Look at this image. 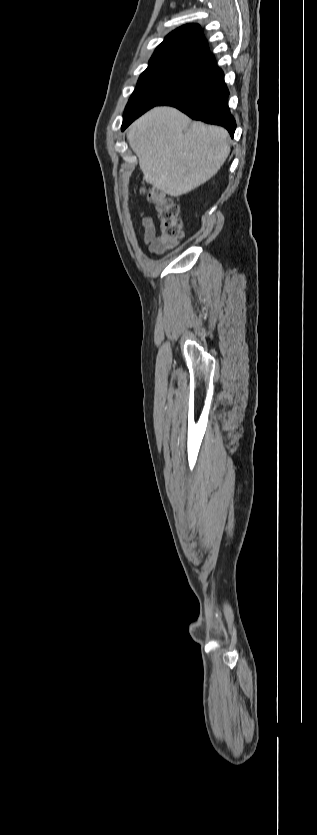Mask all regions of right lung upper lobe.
<instances>
[{
    "label": "right lung upper lobe",
    "mask_w": 317,
    "mask_h": 835,
    "mask_svg": "<svg viewBox=\"0 0 317 835\" xmlns=\"http://www.w3.org/2000/svg\"><path fill=\"white\" fill-rule=\"evenodd\" d=\"M209 53L207 41L198 24L177 28L157 47L148 68L180 60L192 59Z\"/></svg>",
    "instance_id": "right-lung-upper-lobe-1"
}]
</instances>
